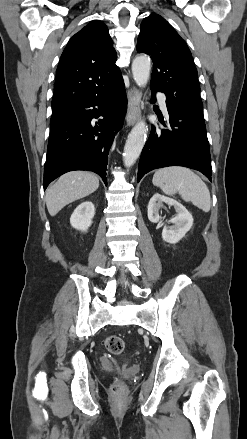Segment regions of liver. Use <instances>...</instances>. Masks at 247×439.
<instances>
[{"label": "liver", "mask_w": 247, "mask_h": 439, "mask_svg": "<svg viewBox=\"0 0 247 439\" xmlns=\"http://www.w3.org/2000/svg\"><path fill=\"white\" fill-rule=\"evenodd\" d=\"M99 187V179L87 171H71L61 177L46 191L48 212L55 216L67 204L84 198Z\"/></svg>", "instance_id": "1"}]
</instances>
